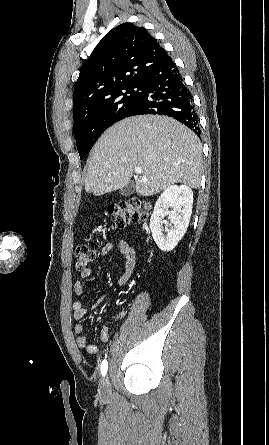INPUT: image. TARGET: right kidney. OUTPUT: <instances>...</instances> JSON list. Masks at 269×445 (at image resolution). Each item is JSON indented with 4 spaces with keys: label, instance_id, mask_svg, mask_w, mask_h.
I'll use <instances>...</instances> for the list:
<instances>
[{
    "label": "right kidney",
    "instance_id": "right-kidney-1",
    "mask_svg": "<svg viewBox=\"0 0 269 445\" xmlns=\"http://www.w3.org/2000/svg\"><path fill=\"white\" fill-rule=\"evenodd\" d=\"M193 192L186 185H172L164 190L156 201L150 219V230L158 248L171 251L184 236L191 217ZM169 207L172 210H169ZM168 216L171 228H163L164 217Z\"/></svg>",
    "mask_w": 269,
    "mask_h": 445
}]
</instances>
